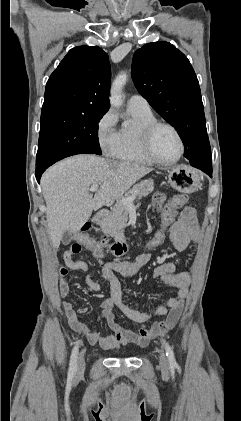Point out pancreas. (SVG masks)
Instances as JSON below:
<instances>
[{"label":"pancreas","mask_w":241,"mask_h":421,"mask_svg":"<svg viewBox=\"0 0 241 421\" xmlns=\"http://www.w3.org/2000/svg\"><path fill=\"white\" fill-rule=\"evenodd\" d=\"M154 190V181L152 179H147L139 182L134 185L131 190H129L125 197L118 198L115 206L112 208L110 215H108L101 222V229L105 234H108L115 239L124 238V227L126 222L129 220V211L130 208L122 204V199H127L134 196L136 198H142L147 196L150 192ZM133 200V201H134Z\"/></svg>","instance_id":"1"}]
</instances>
